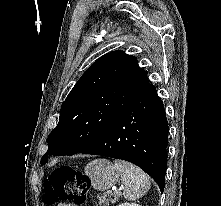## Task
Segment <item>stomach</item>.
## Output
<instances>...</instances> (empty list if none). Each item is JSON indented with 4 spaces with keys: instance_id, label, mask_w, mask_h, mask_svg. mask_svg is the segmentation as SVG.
<instances>
[{
    "instance_id": "obj_1",
    "label": "stomach",
    "mask_w": 221,
    "mask_h": 206,
    "mask_svg": "<svg viewBox=\"0 0 221 206\" xmlns=\"http://www.w3.org/2000/svg\"><path fill=\"white\" fill-rule=\"evenodd\" d=\"M85 174L89 177L93 188L104 191L112 187L119 180V170L106 159H96L85 167Z\"/></svg>"
}]
</instances>
